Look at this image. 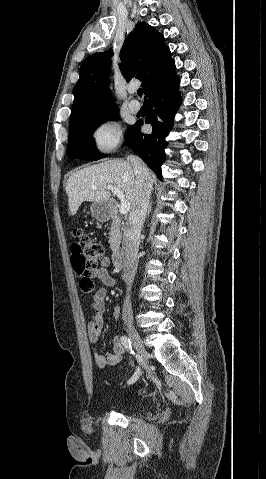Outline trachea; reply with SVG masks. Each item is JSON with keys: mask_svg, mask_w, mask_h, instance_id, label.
Returning a JSON list of instances; mask_svg holds the SVG:
<instances>
[{"mask_svg": "<svg viewBox=\"0 0 266 479\" xmlns=\"http://www.w3.org/2000/svg\"><path fill=\"white\" fill-rule=\"evenodd\" d=\"M137 93H138L139 96H142L143 95V89H141V88L138 89Z\"/></svg>", "mask_w": 266, "mask_h": 479, "instance_id": "trachea-1", "label": "trachea"}]
</instances>
